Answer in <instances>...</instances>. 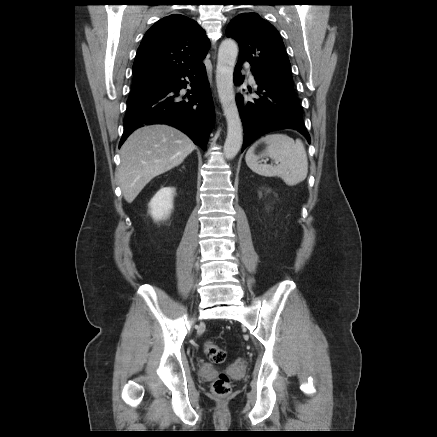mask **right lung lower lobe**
I'll list each match as a JSON object with an SVG mask.
<instances>
[{"mask_svg":"<svg viewBox=\"0 0 437 437\" xmlns=\"http://www.w3.org/2000/svg\"><path fill=\"white\" fill-rule=\"evenodd\" d=\"M187 84L191 89L184 94L181 89ZM213 119L210 86L201 61L168 77L161 85L128 98L124 133L119 146L136 128L159 123L178 128L206 150Z\"/></svg>","mask_w":437,"mask_h":437,"instance_id":"98d812e1","label":"right lung lower lobe"}]
</instances>
